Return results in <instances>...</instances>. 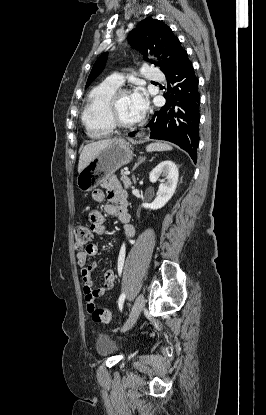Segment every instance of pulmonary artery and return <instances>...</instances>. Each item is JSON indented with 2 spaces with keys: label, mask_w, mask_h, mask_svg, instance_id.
<instances>
[{
  "label": "pulmonary artery",
  "mask_w": 266,
  "mask_h": 415,
  "mask_svg": "<svg viewBox=\"0 0 266 415\" xmlns=\"http://www.w3.org/2000/svg\"><path fill=\"white\" fill-rule=\"evenodd\" d=\"M143 71H144V77L148 80H153V81L163 80V74L159 71V69L153 66H145L143 68ZM105 82L113 86L119 87L123 83V76L115 73L107 77Z\"/></svg>",
  "instance_id": "e3ab8cb5"
}]
</instances>
